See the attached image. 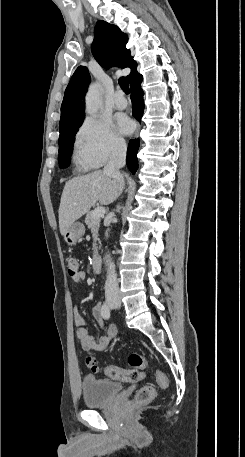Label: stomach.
Segmentation results:
<instances>
[{
    "label": "stomach",
    "mask_w": 245,
    "mask_h": 457,
    "mask_svg": "<svg viewBox=\"0 0 245 457\" xmlns=\"http://www.w3.org/2000/svg\"><path fill=\"white\" fill-rule=\"evenodd\" d=\"M85 233V226L82 224V222H73L71 226H69L68 231L64 233V241L67 243V245H76L77 239H80L82 235Z\"/></svg>",
    "instance_id": "stomach-1"
}]
</instances>
